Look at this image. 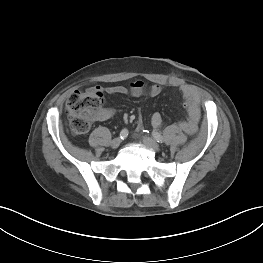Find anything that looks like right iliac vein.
Masks as SVG:
<instances>
[{
  "instance_id": "63e3f726",
  "label": "right iliac vein",
  "mask_w": 263,
  "mask_h": 263,
  "mask_svg": "<svg viewBox=\"0 0 263 263\" xmlns=\"http://www.w3.org/2000/svg\"><path fill=\"white\" fill-rule=\"evenodd\" d=\"M120 144H121V139L120 138H115L111 142V147L113 149H116V148H118L120 146Z\"/></svg>"
}]
</instances>
